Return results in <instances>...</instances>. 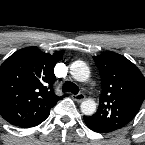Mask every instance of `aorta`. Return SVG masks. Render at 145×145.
<instances>
[{"instance_id": "1", "label": "aorta", "mask_w": 145, "mask_h": 145, "mask_svg": "<svg viewBox=\"0 0 145 145\" xmlns=\"http://www.w3.org/2000/svg\"><path fill=\"white\" fill-rule=\"evenodd\" d=\"M72 77L80 82H85L90 76V70L87 64L83 61H75L70 67ZM81 112L84 115H92L96 111V103L92 99L84 100L80 105Z\"/></svg>"}]
</instances>
